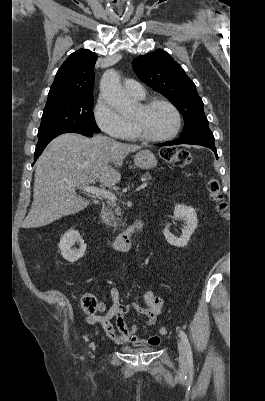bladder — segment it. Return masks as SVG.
<instances>
[{
	"instance_id": "bladder-1",
	"label": "bladder",
	"mask_w": 265,
	"mask_h": 401,
	"mask_svg": "<svg viewBox=\"0 0 265 401\" xmlns=\"http://www.w3.org/2000/svg\"><path fill=\"white\" fill-rule=\"evenodd\" d=\"M153 349H154L153 347H148V348H144V349H136V348H130V347L123 348V350H126L128 352H139V351L148 352V351H152Z\"/></svg>"
}]
</instances>
